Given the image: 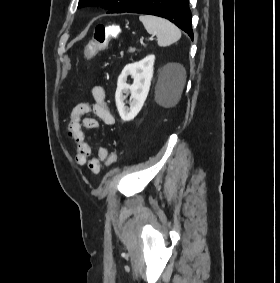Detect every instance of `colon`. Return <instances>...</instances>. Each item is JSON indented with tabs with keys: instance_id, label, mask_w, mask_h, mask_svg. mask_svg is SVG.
Here are the masks:
<instances>
[{
	"instance_id": "1",
	"label": "colon",
	"mask_w": 280,
	"mask_h": 283,
	"mask_svg": "<svg viewBox=\"0 0 280 283\" xmlns=\"http://www.w3.org/2000/svg\"><path fill=\"white\" fill-rule=\"evenodd\" d=\"M121 27L119 25L99 24L95 27L92 39L84 49V58L90 60L94 55L106 48L108 42L119 35ZM117 160V154L112 153L108 158V165H113Z\"/></svg>"
}]
</instances>
